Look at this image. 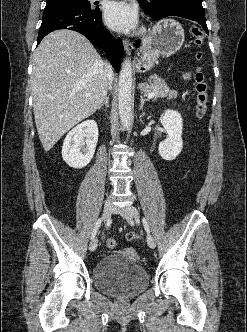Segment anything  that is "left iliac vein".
I'll return each mask as SVG.
<instances>
[{"instance_id":"1","label":"left iliac vein","mask_w":247,"mask_h":332,"mask_svg":"<svg viewBox=\"0 0 247 332\" xmlns=\"http://www.w3.org/2000/svg\"><path fill=\"white\" fill-rule=\"evenodd\" d=\"M114 212L123 216L127 221H131L133 218H139L140 216L139 211L132 205H127L122 209L114 208ZM147 244L152 249L156 247L155 239L149 233H147Z\"/></svg>"}]
</instances>
